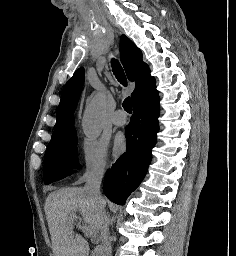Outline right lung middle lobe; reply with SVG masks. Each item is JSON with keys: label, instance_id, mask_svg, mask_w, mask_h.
Wrapping results in <instances>:
<instances>
[{"label": "right lung middle lobe", "instance_id": "obj_1", "mask_svg": "<svg viewBox=\"0 0 236 256\" xmlns=\"http://www.w3.org/2000/svg\"><path fill=\"white\" fill-rule=\"evenodd\" d=\"M71 169H80L76 131L48 144L44 156V183L48 185L71 175Z\"/></svg>", "mask_w": 236, "mask_h": 256}]
</instances>
